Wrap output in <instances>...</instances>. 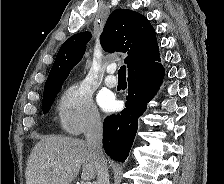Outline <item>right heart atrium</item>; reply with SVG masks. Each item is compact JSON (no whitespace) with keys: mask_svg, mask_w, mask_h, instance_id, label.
Segmentation results:
<instances>
[{"mask_svg":"<svg viewBox=\"0 0 224 184\" xmlns=\"http://www.w3.org/2000/svg\"><path fill=\"white\" fill-rule=\"evenodd\" d=\"M57 116L60 126L74 135L97 130L102 124L92 95L82 82L73 83L63 91Z\"/></svg>","mask_w":224,"mask_h":184,"instance_id":"obj_1","label":"right heart atrium"}]
</instances>
